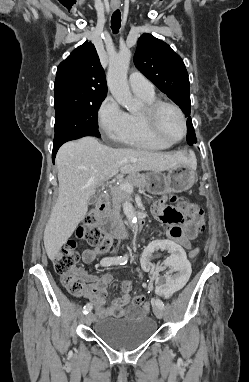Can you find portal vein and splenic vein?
Instances as JSON below:
<instances>
[{
  "mask_svg": "<svg viewBox=\"0 0 249 382\" xmlns=\"http://www.w3.org/2000/svg\"><path fill=\"white\" fill-rule=\"evenodd\" d=\"M118 172H119V170H115V171L112 172L111 175L112 176L116 175ZM119 186H120L121 189H123V190H125L127 192H132L133 191V186L130 183H122Z\"/></svg>",
  "mask_w": 249,
  "mask_h": 382,
  "instance_id": "obj_1",
  "label": "portal vein and splenic vein"
}]
</instances>
